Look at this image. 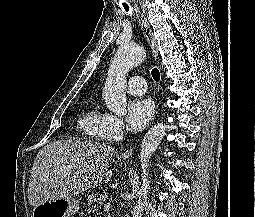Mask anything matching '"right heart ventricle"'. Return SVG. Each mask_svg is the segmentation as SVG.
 I'll return each mask as SVG.
<instances>
[{
    "label": "right heart ventricle",
    "instance_id": "e07e8e85",
    "mask_svg": "<svg viewBox=\"0 0 255 217\" xmlns=\"http://www.w3.org/2000/svg\"><path fill=\"white\" fill-rule=\"evenodd\" d=\"M102 113L97 105H92L80 118L79 127L88 136L101 140L104 138L102 133Z\"/></svg>",
    "mask_w": 255,
    "mask_h": 217
}]
</instances>
